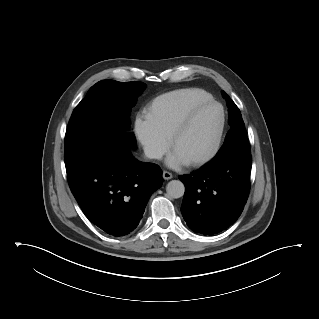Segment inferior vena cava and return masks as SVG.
Wrapping results in <instances>:
<instances>
[{
    "label": "inferior vena cava",
    "instance_id": "inferior-vena-cava-1",
    "mask_svg": "<svg viewBox=\"0 0 319 319\" xmlns=\"http://www.w3.org/2000/svg\"><path fill=\"white\" fill-rule=\"evenodd\" d=\"M144 154L148 159H160L162 157V153L160 151L150 147L144 148Z\"/></svg>",
    "mask_w": 319,
    "mask_h": 319
}]
</instances>
